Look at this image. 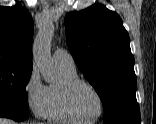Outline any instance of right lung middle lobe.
<instances>
[{"instance_id": "obj_1", "label": "right lung middle lobe", "mask_w": 156, "mask_h": 124, "mask_svg": "<svg viewBox=\"0 0 156 124\" xmlns=\"http://www.w3.org/2000/svg\"><path fill=\"white\" fill-rule=\"evenodd\" d=\"M32 67L0 64V102L28 106L26 86Z\"/></svg>"}]
</instances>
